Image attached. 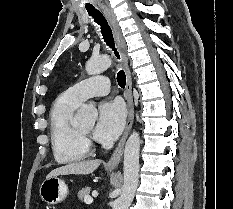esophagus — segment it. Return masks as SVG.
Instances as JSON below:
<instances>
[{"label":"esophagus","mask_w":233,"mask_h":209,"mask_svg":"<svg viewBox=\"0 0 233 209\" xmlns=\"http://www.w3.org/2000/svg\"><path fill=\"white\" fill-rule=\"evenodd\" d=\"M101 8H102L104 15L107 18V20H108V22L113 30V34H114L115 41H116V46H117L118 52H119L120 57H121V64H122V67H123L125 74H126L125 99H126L127 107H128V118H127L126 128H125L124 134H123L120 142L118 143V146L116 147L113 155L111 156V158L109 159V161L107 163V165L109 167H117L122 159L124 144H125L126 139L130 133V130L132 128L133 121H134L132 78H131L130 68L128 65V56H127L126 46L124 43V39H123V36L121 33L120 26H119V24L116 20V17L111 9H109L107 6H104V5H102Z\"/></svg>","instance_id":"34e87169"}]
</instances>
